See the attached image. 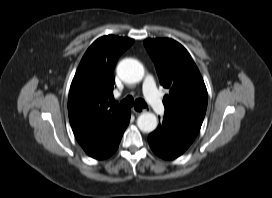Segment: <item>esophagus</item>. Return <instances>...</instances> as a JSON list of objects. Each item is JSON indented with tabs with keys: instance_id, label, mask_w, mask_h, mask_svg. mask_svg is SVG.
<instances>
[{
	"instance_id": "34e87169",
	"label": "esophagus",
	"mask_w": 272,
	"mask_h": 198,
	"mask_svg": "<svg viewBox=\"0 0 272 198\" xmlns=\"http://www.w3.org/2000/svg\"><path fill=\"white\" fill-rule=\"evenodd\" d=\"M132 111H133L135 114H141V113L147 112V109H144V108H140V107L134 106V107H132Z\"/></svg>"
}]
</instances>
